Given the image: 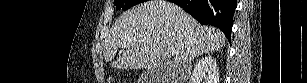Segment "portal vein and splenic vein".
<instances>
[{
	"mask_svg": "<svg viewBox=\"0 0 307 83\" xmlns=\"http://www.w3.org/2000/svg\"><path fill=\"white\" fill-rule=\"evenodd\" d=\"M175 54V50L173 49H167L166 52H165V55L167 56H171V55H174Z\"/></svg>",
	"mask_w": 307,
	"mask_h": 83,
	"instance_id": "portal-vein-and-splenic-vein-1",
	"label": "portal vein and splenic vein"
}]
</instances>
